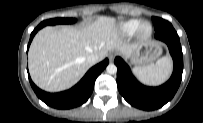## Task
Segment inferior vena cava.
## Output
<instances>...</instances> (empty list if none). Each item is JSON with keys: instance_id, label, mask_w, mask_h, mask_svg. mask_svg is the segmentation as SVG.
Returning a JSON list of instances; mask_svg holds the SVG:
<instances>
[{"instance_id": "1", "label": "inferior vena cava", "mask_w": 203, "mask_h": 123, "mask_svg": "<svg viewBox=\"0 0 203 123\" xmlns=\"http://www.w3.org/2000/svg\"><path fill=\"white\" fill-rule=\"evenodd\" d=\"M99 60V57L98 55L96 54H91L87 57V62L90 64V65H94L95 63H97Z\"/></svg>"}]
</instances>
